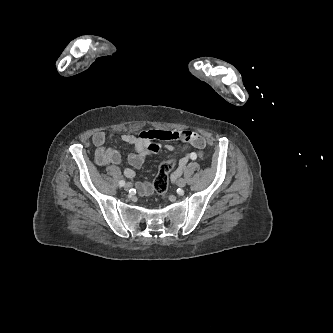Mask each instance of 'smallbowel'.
<instances>
[{"label":"small bowel","instance_id":"c3829d8e","mask_svg":"<svg viewBox=\"0 0 333 333\" xmlns=\"http://www.w3.org/2000/svg\"><path fill=\"white\" fill-rule=\"evenodd\" d=\"M161 141H189L198 149H203L206 145V138L196 132L189 130L183 131H169V130H157L150 129L141 131L138 135L124 134L121 136V141L133 146L134 151L128 156V162L132 168H127L124 171V175L127 178H133L135 176L134 169L140 168L145 159L149 155L156 154L160 151L161 146L156 142ZM92 142L95 147L94 158L96 164L99 166L118 165L120 163V154L118 151L107 148L105 146L106 135L104 132H96L92 136ZM166 149L173 151L174 146L172 144H166ZM201 155V151L191 152L183 157L177 169L171 176V180L175 181L181 176L189 160H196ZM139 193L143 196H150L152 194V188L149 183L143 182L138 185Z\"/></svg>","mask_w":333,"mask_h":333}]
</instances>
